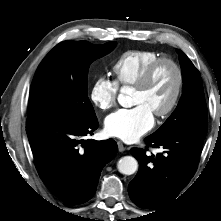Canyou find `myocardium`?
<instances>
[{"mask_svg":"<svg viewBox=\"0 0 221 221\" xmlns=\"http://www.w3.org/2000/svg\"><path fill=\"white\" fill-rule=\"evenodd\" d=\"M163 64H169L173 67L176 73V84L174 88L173 95L167 104V106L162 109L161 111L155 112L154 115L158 118H165L170 115L173 110L176 108L184 85V74L181 66L177 61L170 57H160L157 60L150 63L141 75L138 77L136 82L134 83L133 87L135 89H143L149 83L150 79L154 75L155 71L159 68V66Z\"/></svg>","mask_w":221,"mask_h":221,"instance_id":"obj_1","label":"myocardium"}]
</instances>
